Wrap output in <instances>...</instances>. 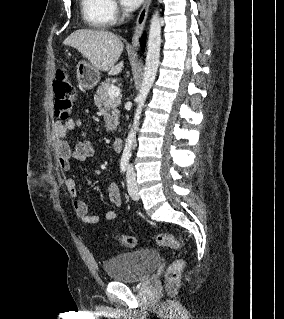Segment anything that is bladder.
Masks as SVG:
<instances>
[{
    "mask_svg": "<svg viewBox=\"0 0 284 319\" xmlns=\"http://www.w3.org/2000/svg\"><path fill=\"white\" fill-rule=\"evenodd\" d=\"M158 251L143 248L118 254L104 262L107 276L117 282H137L148 276L160 264Z\"/></svg>",
    "mask_w": 284,
    "mask_h": 319,
    "instance_id": "31cf9c89",
    "label": "bladder"
}]
</instances>
